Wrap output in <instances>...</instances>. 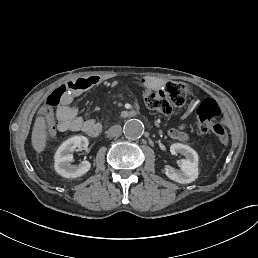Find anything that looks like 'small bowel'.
<instances>
[{
	"label": "small bowel",
	"instance_id": "obj_1",
	"mask_svg": "<svg viewBox=\"0 0 258 258\" xmlns=\"http://www.w3.org/2000/svg\"><path fill=\"white\" fill-rule=\"evenodd\" d=\"M70 83L74 89L67 101L57 108L52 117L47 120L48 130L51 135L55 131H81L89 136H97L101 131V124L94 119H85L78 114L77 107L73 104L76 97L82 93L111 83L110 77L100 75H91L71 80ZM186 125L181 124L177 128L169 130L168 134L171 138L180 141L189 140V135L185 131Z\"/></svg>",
	"mask_w": 258,
	"mask_h": 258
}]
</instances>
